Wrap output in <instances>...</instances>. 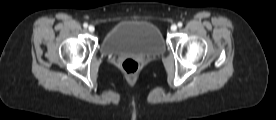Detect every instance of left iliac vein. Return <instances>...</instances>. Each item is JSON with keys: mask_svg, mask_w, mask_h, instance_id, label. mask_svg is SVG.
Returning a JSON list of instances; mask_svg holds the SVG:
<instances>
[{"mask_svg": "<svg viewBox=\"0 0 276 120\" xmlns=\"http://www.w3.org/2000/svg\"><path fill=\"white\" fill-rule=\"evenodd\" d=\"M171 30H172L173 32L176 31V30H177V25L173 24V25L171 26Z\"/></svg>", "mask_w": 276, "mask_h": 120, "instance_id": "1", "label": "left iliac vein"}]
</instances>
